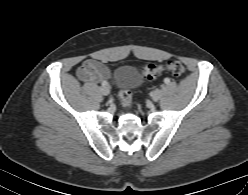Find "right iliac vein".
Here are the masks:
<instances>
[{
  "instance_id": "1",
  "label": "right iliac vein",
  "mask_w": 248,
  "mask_h": 195,
  "mask_svg": "<svg viewBox=\"0 0 248 195\" xmlns=\"http://www.w3.org/2000/svg\"><path fill=\"white\" fill-rule=\"evenodd\" d=\"M100 91H101V93L103 94V95H108L109 93H110V88L108 87V86H102L101 88H100Z\"/></svg>"
}]
</instances>
